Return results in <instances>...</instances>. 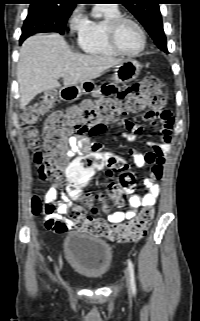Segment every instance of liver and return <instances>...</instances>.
I'll list each match as a JSON object with an SVG mask.
<instances>
[{
    "mask_svg": "<svg viewBox=\"0 0 200 321\" xmlns=\"http://www.w3.org/2000/svg\"><path fill=\"white\" fill-rule=\"evenodd\" d=\"M121 62L109 56L73 53L58 34L31 36L23 43L17 64L20 108L36 95L59 88V78L64 87L74 86L100 77Z\"/></svg>",
    "mask_w": 200,
    "mask_h": 321,
    "instance_id": "6515ba94",
    "label": "liver"
}]
</instances>
